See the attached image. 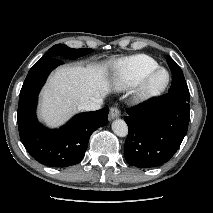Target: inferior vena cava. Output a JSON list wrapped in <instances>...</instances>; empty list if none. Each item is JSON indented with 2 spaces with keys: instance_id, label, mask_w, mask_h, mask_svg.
Returning <instances> with one entry per match:
<instances>
[{
  "instance_id": "obj_1",
  "label": "inferior vena cava",
  "mask_w": 213,
  "mask_h": 213,
  "mask_svg": "<svg viewBox=\"0 0 213 213\" xmlns=\"http://www.w3.org/2000/svg\"><path fill=\"white\" fill-rule=\"evenodd\" d=\"M103 104V99H94L92 101H87L85 103H82L80 105L81 110H86V111H95L99 110L101 108V105Z\"/></svg>"
}]
</instances>
